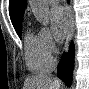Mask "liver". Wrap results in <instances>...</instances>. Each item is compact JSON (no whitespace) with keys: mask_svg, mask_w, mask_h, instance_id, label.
<instances>
[{"mask_svg":"<svg viewBox=\"0 0 89 89\" xmlns=\"http://www.w3.org/2000/svg\"><path fill=\"white\" fill-rule=\"evenodd\" d=\"M54 82L52 77L36 75L25 80L24 89H56Z\"/></svg>","mask_w":89,"mask_h":89,"instance_id":"obj_1","label":"liver"}]
</instances>
